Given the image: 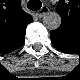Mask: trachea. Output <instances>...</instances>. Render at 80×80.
<instances>
[{
	"instance_id": "3493384b",
	"label": "trachea",
	"mask_w": 80,
	"mask_h": 80,
	"mask_svg": "<svg viewBox=\"0 0 80 80\" xmlns=\"http://www.w3.org/2000/svg\"><path fill=\"white\" fill-rule=\"evenodd\" d=\"M28 5H29V9L33 11L39 10L42 6L40 1H35V0L30 1Z\"/></svg>"
}]
</instances>
